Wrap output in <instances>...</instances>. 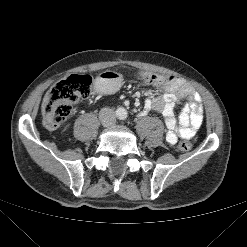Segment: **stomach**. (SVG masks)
<instances>
[{"label": "stomach", "mask_w": 247, "mask_h": 247, "mask_svg": "<svg viewBox=\"0 0 247 247\" xmlns=\"http://www.w3.org/2000/svg\"><path fill=\"white\" fill-rule=\"evenodd\" d=\"M122 76L113 71H104L96 79L100 91L111 93L117 91L122 84Z\"/></svg>", "instance_id": "obj_1"}]
</instances>
